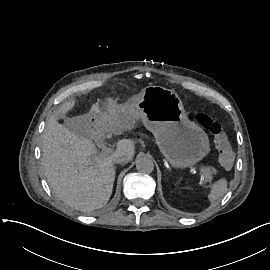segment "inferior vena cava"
I'll return each instance as SVG.
<instances>
[{"instance_id": "1", "label": "inferior vena cava", "mask_w": 270, "mask_h": 270, "mask_svg": "<svg viewBox=\"0 0 270 270\" xmlns=\"http://www.w3.org/2000/svg\"><path fill=\"white\" fill-rule=\"evenodd\" d=\"M112 158H113V162L117 163V164H122V163L125 164V163L129 162V160L126 156L119 154V153H115Z\"/></svg>"}]
</instances>
